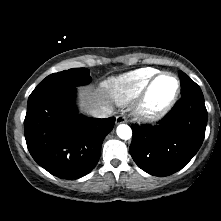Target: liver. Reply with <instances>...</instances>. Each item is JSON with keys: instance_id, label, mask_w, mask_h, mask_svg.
Here are the masks:
<instances>
[{"instance_id": "1", "label": "liver", "mask_w": 221, "mask_h": 221, "mask_svg": "<svg viewBox=\"0 0 221 221\" xmlns=\"http://www.w3.org/2000/svg\"><path fill=\"white\" fill-rule=\"evenodd\" d=\"M80 98V108L84 112H89V110L100 107L108 106L110 107L109 101L104 95L98 93L97 91H92L91 88H82L79 94Z\"/></svg>"}]
</instances>
